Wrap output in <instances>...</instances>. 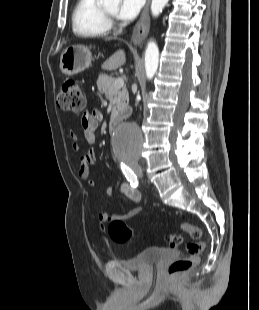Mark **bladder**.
<instances>
[{
  "instance_id": "obj_1",
  "label": "bladder",
  "mask_w": 259,
  "mask_h": 310,
  "mask_svg": "<svg viewBox=\"0 0 259 310\" xmlns=\"http://www.w3.org/2000/svg\"><path fill=\"white\" fill-rule=\"evenodd\" d=\"M178 253L167 248H146L131 259H121L118 263L129 270L149 269L159 263L177 258Z\"/></svg>"
}]
</instances>
